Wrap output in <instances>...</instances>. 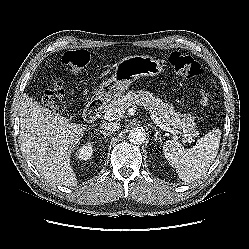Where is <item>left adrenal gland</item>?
Returning a JSON list of instances; mask_svg holds the SVG:
<instances>
[{
  "mask_svg": "<svg viewBox=\"0 0 249 249\" xmlns=\"http://www.w3.org/2000/svg\"><path fill=\"white\" fill-rule=\"evenodd\" d=\"M150 127L152 128V129H154V140L155 141H158V140H160L161 141V137H160V135H159V132H158V130H157V128L155 127V126H152V125H150Z\"/></svg>",
  "mask_w": 249,
  "mask_h": 249,
  "instance_id": "obj_1",
  "label": "left adrenal gland"
}]
</instances>
